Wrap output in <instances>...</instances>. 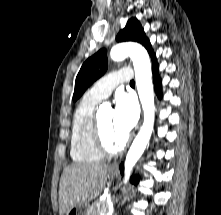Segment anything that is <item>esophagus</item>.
Wrapping results in <instances>:
<instances>
[{"label":"esophagus","instance_id":"esophagus-1","mask_svg":"<svg viewBox=\"0 0 221 215\" xmlns=\"http://www.w3.org/2000/svg\"><path fill=\"white\" fill-rule=\"evenodd\" d=\"M110 168L111 169H117L118 168V163H113Z\"/></svg>","mask_w":221,"mask_h":215}]
</instances>
